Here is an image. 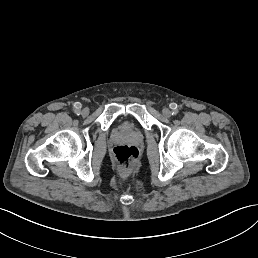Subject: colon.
Returning <instances> with one entry per match:
<instances>
[{"label":"colon","mask_w":258,"mask_h":258,"mask_svg":"<svg viewBox=\"0 0 258 258\" xmlns=\"http://www.w3.org/2000/svg\"><path fill=\"white\" fill-rule=\"evenodd\" d=\"M113 158L124 169L134 166L139 159V150L135 146L118 145L113 149Z\"/></svg>","instance_id":"obj_1"}]
</instances>
